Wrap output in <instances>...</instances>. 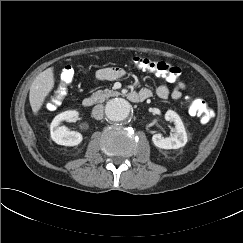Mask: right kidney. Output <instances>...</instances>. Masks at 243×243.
<instances>
[{
    "label": "right kidney",
    "mask_w": 243,
    "mask_h": 243,
    "mask_svg": "<svg viewBox=\"0 0 243 243\" xmlns=\"http://www.w3.org/2000/svg\"><path fill=\"white\" fill-rule=\"evenodd\" d=\"M78 116L77 111H65L58 114L50 125V134L52 140L64 146H76L83 140L82 135L79 132L69 131L65 126H59L62 121H69Z\"/></svg>",
    "instance_id": "1"
}]
</instances>
